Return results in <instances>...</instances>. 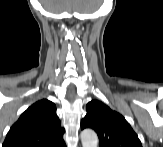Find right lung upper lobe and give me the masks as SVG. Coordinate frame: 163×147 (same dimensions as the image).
Listing matches in <instances>:
<instances>
[{
    "instance_id": "obj_1",
    "label": "right lung upper lobe",
    "mask_w": 163,
    "mask_h": 147,
    "mask_svg": "<svg viewBox=\"0 0 163 147\" xmlns=\"http://www.w3.org/2000/svg\"><path fill=\"white\" fill-rule=\"evenodd\" d=\"M63 133L55 104L43 99L13 124L2 147H64Z\"/></svg>"
}]
</instances>
